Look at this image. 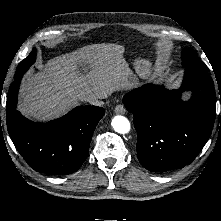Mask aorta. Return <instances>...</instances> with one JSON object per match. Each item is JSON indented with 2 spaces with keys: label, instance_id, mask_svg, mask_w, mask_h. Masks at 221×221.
<instances>
[{
  "label": "aorta",
  "instance_id": "1",
  "mask_svg": "<svg viewBox=\"0 0 221 221\" xmlns=\"http://www.w3.org/2000/svg\"><path fill=\"white\" fill-rule=\"evenodd\" d=\"M112 128L120 134H127L130 131L129 120L121 115L114 116L111 122Z\"/></svg>",
  "mask_w": 221,
  "mask_h": 221
}]
</instances>
